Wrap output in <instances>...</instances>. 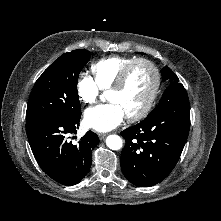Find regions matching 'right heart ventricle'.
<instances>
[{
    "mask_svg": "<svg viewBox=\"0 0 221 221\" xmlns=\"http://www.w3.org/2000/svg\"><path fill=\"white\" fill-rule=\"evenodd\" d=\"M133 60V57L109 56L94 62L91 72L99 90H109L120 72Z\"/></svg>",
    "mask_w": 221,
    "mask_h": 221,
    "instance_id": "e07e8e85",
    "label": "right heart ventricle"
}]
</instances>
